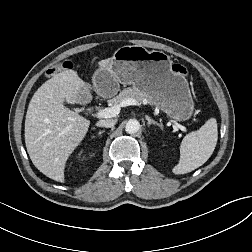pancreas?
<instances>
[{
	"label": "pancreas",
	"instance_id": "cf45deb5",
	"mask_svg": "<svg viewBox=\"0 0 252 252\" xmlns=\"http://www.w3.org/2000/svg\"><path fill=\"white\" fill-rule=\"evenodd\" d=\"M134 99L138 103H142L143 101L147 100V97L144 92L140 91L139 89L132 87L122 90L116 97L110 99L108 103L110 105H120L121 102L125 99Z\"/></svg>",
	"mask_w": 252,
	"mask_h": 252
}]
</instances>
